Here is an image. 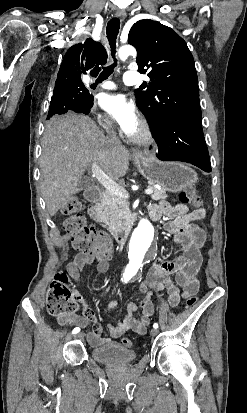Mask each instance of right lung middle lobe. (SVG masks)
<instances>
[{"label":"right lung middle lobe","instance_id":"right-lung-middle-lobe-1","mask_svg":"<svg viewBox=\"0 0 247 413\" xmlns=\"http://www.w3.org/2000/svg\"><path fill=\"white\" fill-rule=\"evenodd\" d=\"M89 94L82 81L55 83L53 98L63 96H83Z\"/></svg>","mask_w":247,"mask_h":413}]
</instances>
